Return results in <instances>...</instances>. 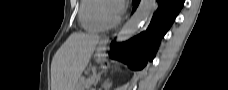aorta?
I'll return each instance as SVG.
<instances>
[{"label":"aorta","instance_id":"obj_1","mask_svg":"<svg viewBox=\"0 0 228 90\" xmlns=\"http://www.w3.org/2000/svg\"><path fill=\"white\" fill-rule=\"evenodd\" d=\"M156 9V0H141L137 10L117 35L118 42H125L135 35Z\"/></svg>","mask_w":228,"mask_h":90}]
</instances>
